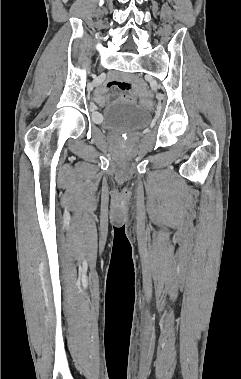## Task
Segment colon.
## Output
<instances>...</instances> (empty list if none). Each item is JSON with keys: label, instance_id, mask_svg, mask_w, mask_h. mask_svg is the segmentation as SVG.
Listing matches in <instances>:
<instances>
[{"label": "colon", "instance_id": "colon-1", "mask_svg": "<svg viewBox=\"0 0 241 379\" xmlns=\"http://www.w3.org/2000/svg\"><path fill=\"white\" fill-rule=\"evenodd\" d=\"M151 91L150 90H142L141 91V108L142 109H149L150 108V97Z\"/></svg>", "mask_w": 241, "mask_h": 379}]
</instances>
